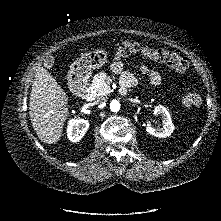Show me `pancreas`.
<instances>
[{
  "instance_id": "obj_1",
  "label": "pancreas",
  "mask_w": 221,
  "mask_h": 221,
  "mask_svg": "<svg viewBox=\"0 0 221 221\" xmlns=\"http://www.w3.org/2000/svg\"><path fill=\"white\" fill-rule=\"evenodd\" d=\"M108 77L105 72H100L93 77L92 88L98 93V96H103L110 93V87L108 86Z\"/></svg>"
}]
</instances>
